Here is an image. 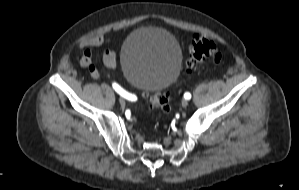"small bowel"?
Instances as JSON below:
<instances>
[{"label": "small bowel", "instance_id": "1", "mask_svg": "<svg viewBox=\"0 0 299 190\" xmlns=\"http://www.w3.org/2000/svg\"><path fill=\"white\" fill-rule=\"evenodd\" d=\"M108 43V39L106 36L99 34L95 35L92 37L86 38L82 42V46L86 48L84 52V56H90L91 58L93 57V49L103 47ZM102 60L103 63L110 68H116L117 66V56L115 52L109 50V49H104L102 52ZM92 76H96V72H92Z\"/></svg>", "mask_w": 299, "mask_h": 190}]
</instances>
